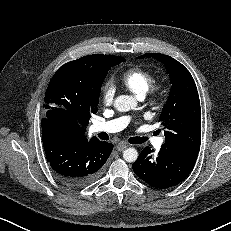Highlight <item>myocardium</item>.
I'll list each match as a JSON object with an SVG mask.
<instances>
[{
	"label": "myocardium",
	"mask_w": 231,
	"mask_h": 231,
	"mask_svg": "<svg viewBox=\"0 0 231 231\" xmlns=\"http://www.w3.org/2000/svg\"><path fill=\"white\" fill-rule=\"evenodd\" d=\"M148 93L152 97V99L156 101H161L165 98L167 94V84L164 79H159L157 81L152 82Z\"/></svg>",
	"instance_id": "1"
}]
</instances>
